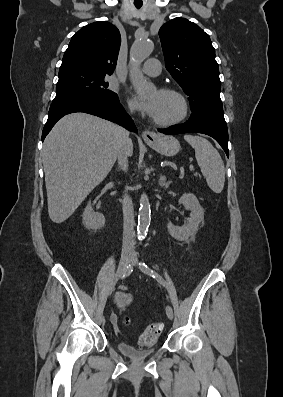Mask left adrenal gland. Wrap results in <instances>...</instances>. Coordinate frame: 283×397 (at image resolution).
<instances>
[{
	"label": "left adrenal gland",
	"instance_id": "obj_1",
	"mask_svg": "<svg viewBox=\"0 0 283 397\" xmlns=\"http://www.w3.org/2000/svg\"><path fill=\"white\" fill-rule=\"evenodd\" d=\"M171 184V181L166 182V177L165 176H160L159 178V185L163 188H168L169 185Z\"/></svg>",
	"mask_w": 283,
	"mask_h": 397
}]
</instances>
